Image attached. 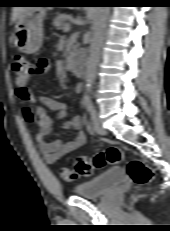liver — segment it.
<instances>
[{"label": "liver", "mask_w": 170, "mask_h": 231, "mask_svg": "<svg viewBox=\"0 0 170 231\" xmlns=\"http://www.w3.org/2000/svg\"><path fill=\"white\" fill-rule=\"evenodd\" d=\"M29 7H14L11 17V23H14L17 21V19L20 17V15Z\"/></svg>", "instance_id": "liver-1"}]
</instances>
